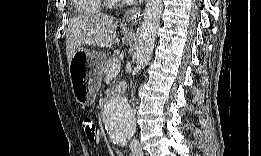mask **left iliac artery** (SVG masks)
<instances>
[{
	"label": "left iliac artery",
	"instance_id": "left-iliac-artery-1",
	"mask_svg": "<svg viewBox=\"0 0 261 156\" xmlns=\"http://www.w3.org/2000/svg\"><path fill=\"white\" fill-rule=\"evenodd\" d=\"M126 143H127L126 139L120 141L121 146H125Z\"/></svg>",
	"mask_w": 261,
	"mask_h": 156
}]
</instances>
